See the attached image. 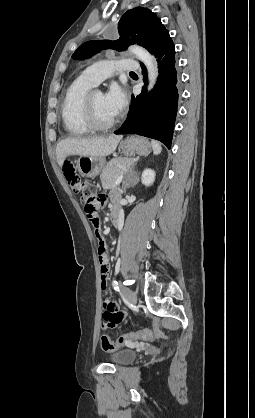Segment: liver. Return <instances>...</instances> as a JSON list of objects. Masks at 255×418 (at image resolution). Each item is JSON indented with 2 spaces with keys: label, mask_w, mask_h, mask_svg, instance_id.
<instances>
[{
  "label": "liver",
  "mask_w": 255,
  "mask_h": 418,
  "mask_svg": "<svg viewBox=\"0 0 255 418\" xmlns=\"http://www.w3.org/2000/svg\"><path fill=\"white\" fill-rule=\"evenodd\" d=\"M122 135H110L102 138H66L57 144L56 158L60 167L70 155L105 157L112 154Z\"/></svg>",
  "instance_id": "6515ba94"
}]
</instances>
